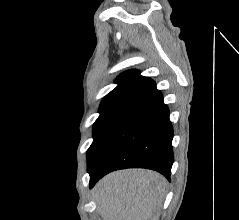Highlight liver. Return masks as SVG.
<instances>
[{"mask_svg": "<svg viewBox=\"0 0 239 220\" xmlns=\"http://www.w3.org/2000/svg\"><path fill=\"white\" fill-rule=\"evenodd\" d=\"M167 181L144 169L112 172L95 186V200L104 220H158Z\"/></svg>", "mask_w": 239, "mask_h": 220, "instance_id": "obj_1", "label": "liver"}]
</instances>
